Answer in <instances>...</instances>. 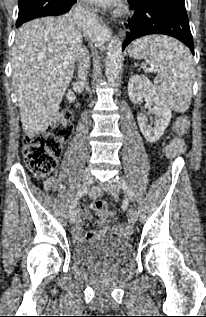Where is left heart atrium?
I'll use <instances>...</instances> for the list:
<instances>
[{"mask_svg":"<svg viewBox=\"0 0 206 317\" xmlns=\"http://www.w3.org/2000/svg\"><path fill=\"white\" fill-rule=\"evenodd\" d=\"M90 1L96 2L99 5L107 7V6L115 5L118 0H90Z\"/></svg>","mask_w":206,"mask_h":317,"instance_id":"1","label":"left heart atrium"}]
</instances>
